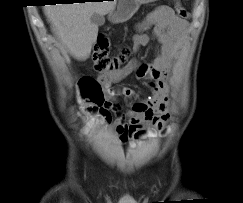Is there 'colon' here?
<instances>
[{"label": "colon", "mask_w": 243, "mask_h": 203, "mask_svg": "<svg viewBox=\"0 0 243 203\" xmlns=\"http://www.w3.org/2000/svg\"><path fill=\"white\" fill-rule=\"evenodd\" d=\"M174 6L182 19L189 17L188 11L177 1ZM110 42L107 37L99 36L93 49V67L97 72L112 73L123 68L130 56V48L122 46L115 54H110ZM82 94L88 102V109L101 108L104 102V88L101 82L91 76H83L79 81Z\"/></svg>", "instance_id": "colon-1"}]
</instances>
